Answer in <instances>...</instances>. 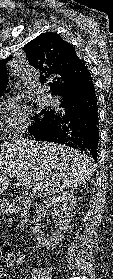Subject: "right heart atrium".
<instances>
[{"instance_id":"1","label":"right heart atrium","mask_w":113,"mask_h":279,"mask_svg":"<svg viewBox=\"0 0 113 279\" xmlns=\"http://www.w3.org/2000/svg\"><path fill=\"white\" fill-rule=\"evenodd\" d=\"M31 110L18 97H8L0 103V127L9 136L21 134L29 125Z\"/></svg>"}]
</instances>
